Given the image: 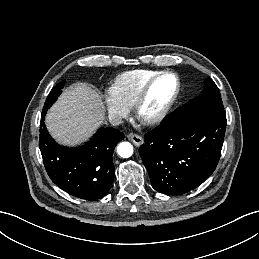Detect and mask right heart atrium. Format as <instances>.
<instances>
[{
	"label": "right heart atrium",
	"instance_id": "right-heart-atrium-1",
	"mask_svg": "<svg viewBox=\"0 0 259 259\" xmlns=\"http://www.w3.org/2000/svg\"><path fill=\"white\" fill-rule=\"evenodd\" d=\"M104 103L109 115L114 119H122L129 113V108L118 101L112 94L105 95Z\"/></svg>",
	"mask_w": 259,
	"mask_h": 259
}]
</instances>
